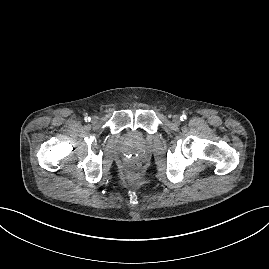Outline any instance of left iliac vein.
<instances>
[{
  "label": "left iliac vein",
  "mask_w": 269,
  "mask_h": 269,
  "mask_svg": "<svg viewBox=\"0 0 269 269\" xmlns=\"http://www.w3.org/2000/svg\"><path fill=\"white\" fill-rule=\"evenodd\" d=\"M172 120L175 124H179L181 119L179 115H174Z\"/></svg>",
  "instance_id": "1"
}]
</instances>
